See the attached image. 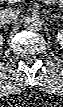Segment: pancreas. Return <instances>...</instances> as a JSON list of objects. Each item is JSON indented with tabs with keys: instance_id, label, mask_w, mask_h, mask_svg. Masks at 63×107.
I'll return each instance as SVG.
<instances>
[{
	"instance_id": "pancreas-1",
	"label": "pancreas",
	"mask_w": 63,
	"mask_h": 107,
	"mask_svg": "<svg viewBox=\"0 0 63 107\" xmlns=\"http://www.w3.org/2000/svg\"><path fill=\"white\" fill-rule=\"evenodd\" d=\"M51 3L55 6H58L59 8L63 7V1L62 0H51Z\"/></svg>"
}]
</instances>
